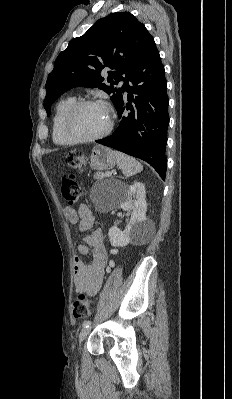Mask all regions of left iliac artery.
<instances>
[{"label":"left iliac artery","mask_w":232,"mask_h":399,"mask_svg":"<svg viewBox=\"0 0 232 399\" xmlns=\"http://www.w3.org/2000/svg\"><path fill=\"white\" fill-rule=\"evenodd\" d=\"M90 324H91V321H90V320L84 321V322H83V328H88V327L90 326Z\"/></svg>","instance_id":"obj_1"}]
</instances>
